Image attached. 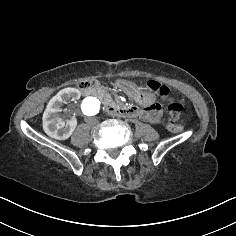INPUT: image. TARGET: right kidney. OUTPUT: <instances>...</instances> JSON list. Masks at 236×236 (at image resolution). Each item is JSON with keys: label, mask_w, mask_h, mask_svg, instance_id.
I'll list each match as a JSON object with an SVG mask.
<instances>
[{"label": "right kidney", "mask_w": 236, "mask_h": 236, "mask_svg": "<svg viewBox=\"0 0 236 236\" xmlns=\"http://www.w3.org/2000/svg\"><path fill=\"white\" fill-rule=\"evenodd\" d=\"M80 96L77 89L67 88L52 97V101L45 107L43 116V130L50 138L64 141L71 137L78 122L75 117L65 118L64 110Z\"/></svg>", "instance_id": "ca27d5eb"}]
</instances>
